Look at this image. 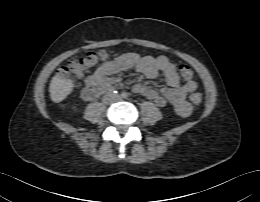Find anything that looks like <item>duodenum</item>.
I'll list each match as a JSON object with an SVG mask.
<instances>
[{"instance_id":"410a0bca","label":"duodenum","mask_w":260,"mask_h":202,"mask_svg":"<svg viewBox=\"0 0 260 202\" xmlns=\"http://www.w3.org/2000/svg\"><path fill=\"white\" fill-rule=\"evenodd\" d=\"M111 88L112 87L110 84H101L98 86H88L82 90L81 97L87 101L93 100L94 98L100 96L101 94H103L104 92L108 91Z\"/></svg>"}]
</instances>
